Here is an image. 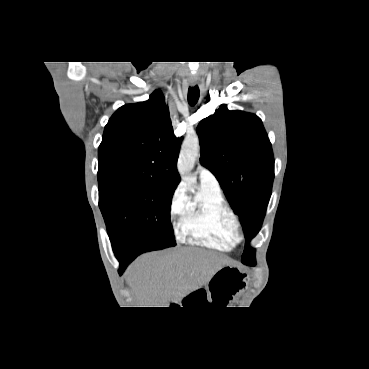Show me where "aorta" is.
Wrapping results in <instances>:
<instances>
[{"label": "aorta", "mask_w": 369, "mask_h": 369, "mask_svg": "<svg viewBox=\"0 0 369 369\" xmlns=\"http://www.w3.org/2000/svg\"><path fill=\"white\" fill-rule=\"evenodd\" d=\"M199 139L197 136H187L182 144L177 168L182 179L187 180L199 155Z\"/></svg>", "instance_id": "obj_1"}]
</instances>
